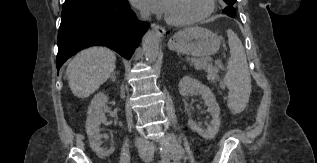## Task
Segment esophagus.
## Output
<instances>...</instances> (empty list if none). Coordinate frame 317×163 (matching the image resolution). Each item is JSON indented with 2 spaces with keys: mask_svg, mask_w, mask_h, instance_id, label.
Wrapping results in <instances>:
<instances>
[{
  "mask_svg": "<svg viewBox=\"0 0 317 163\" xmlns=\"http://www.w3.org/2000/svg\"><path fill=\"white\" fill-rule=\"evenodd\" d=\"M151 27L153 30H155L158 33L159 36H164V34L166 32L165 28H163L162 26L155 24V23L151 24Z\"/></svg>",
  "mask_w": 317,
  "mask_h": 163,
  "instance_id": "obj_1",
  "label": "esophagus"
}]
</instances>
